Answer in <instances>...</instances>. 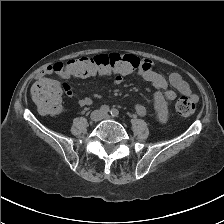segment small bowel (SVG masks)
<instances>
[{
    "label": "small bowel",
    "instance_id": "small-bowel-1",
    "mask_svg": "<svg viewBox=\"0 0 224 224\" xmlns=\"http://www.w3.org/2000/svg\"><path fill=\"white\" fill-rule=\"evenodd\" d=\"M55 74L60 78L68 79L72 78V74L67 70L65 64L62 62H56L44 67L37 75L36 82L45 81L49 84L58 87L63 90L69 97L74 96L72 88L68 84L61 85L58 81L49 78L50 75ZM137 74L149 82L156 91L153 94V102L157 118L160 123H166L169 117L168 102H172L177 98V92L190 97L193 101H197V96L192 92L189 84L183 77L177 72H170L168 79H165L156 70V65L152 60L142 59L140 60V66ZM125 74H115L113 78V84L120 86L125 81ZM173 89L168 88V86ZM81 106H88L92 104L90 97H82L77 100ZM134 110L139 116H145L147 113L146 107L141 103L134 105Z\"/></svg>",
    "mask_w": 224,
    "mask_h": 224
}]
</instances>
